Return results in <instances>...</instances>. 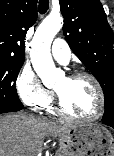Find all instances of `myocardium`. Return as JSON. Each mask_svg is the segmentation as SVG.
Masks as SVG:
<instances>
[{"instance_id": "myocardium-1", "label": "myocardium", "mask_w": 114, "mask_h": 156, "mask_svg": "<svg viewBox=\"0 0 114 156\" xmlns=\"http://www.w3.org/2000/svg\"><path fill=\"white\" fill-rule=\"evenodd\" d=\"M67 78L68 79H77V78L89 79L93 83V85L96 89V92H97L98 108H97L96 113L89 117H77V116L71 115L70 113H68L65 110V108L63 106L62 98H61L60 94L55 90V97H56L55 110H56V112L63 118L71 120V121H75V122H92V121L99 119L101 117V115L103 114V111L105 108V97H104V92H103L102 86H101L100 82L98 81V79L93 74L86 72V71L73 72L70 75H68Z\"/></svg>"}]
</instances>
